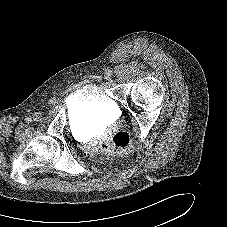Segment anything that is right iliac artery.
<instances>
[{
  "mask_svg": "<svg viewBox=\"0 0 227 227\" xmlns=\"http://www.w3.org/2000/svg\"><path fill=\"white\" fill-rule=\"evenodd\" d=\"M30 121H31V117H27V118H26V122L29 123Z\"/></svg>",
  "mask_w": 227,
  "mask_h": 227,
  "instance_id": "82829eb1",
  "label": "right iliac artery"
}]
</instances>
